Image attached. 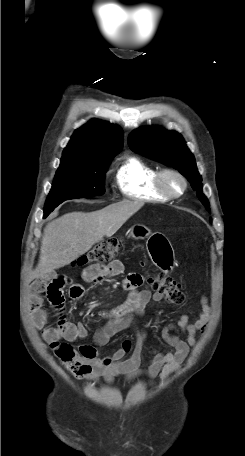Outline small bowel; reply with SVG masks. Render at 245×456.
I'll return each mask as SVG.
<instances>
[{
    "instance_id": "1",
    "label": "small bowel",
    "mask_w": 245,
    "mask_h": 456,
    "mask_svg": "<svg viewBox=\"0 0 245 456\" xmlns=\"http://www.w3.org/2000/svg\"><path fill=\"white\" fill-rule=\"evenodd\" d=\"M123 273L124 266L122 262L113 260L107 264L89 266L83 271L82 279L87 283L96 284L105 278L119 276ZM142 283L143 277L139 273L125 276L122 285L129 291L127 300L104 313L107 322L95 335L96 343L103 345L114 334L128 328H134L136 332L135 343L125 340L118 350L105 358H99L93 346H80L79 349L84 353V362L89 366V371L83 375L85 380L98 383L101 379H104L106 382H112L119 375H125L130 378L146 375L151 380L159 376L161 379H166L183 363L190 348L196 343V334L198 332L203 333L207 328L212 309L208 298L203 295L200 299L201 310L198 319L195 322H191L189 316L184 314L175 324L165 327L162 336L172 350H153L151 352L152 360L148 368L142 370L140 365L144 352L145 333L136 328L134 317L141 315L150 301L160 302L163 299V294L160 292H151L148 289L139 290ZM66 284H68L66 277L47 274L34 281L31 285L29 302L31 319L34 326L42 330L43 339L48 343L59 341L60 339L72 342L84 339L87 336V329L83 323L69 322L63 314L59 318L57 327L44 328L48 313L43 308L41 295L46 292L49 302L62 312L64 308L63 288ZM84 292L85 289L81 284H72L69 289V295L73 299H80ZM176 333L183 334L186 337L183 339ZM86 350L89 352L86 353ZM129 352L130 356L124 359Z\"/></svg>"
}]
</instances>
